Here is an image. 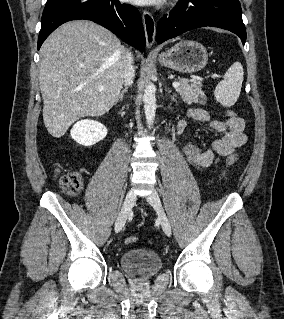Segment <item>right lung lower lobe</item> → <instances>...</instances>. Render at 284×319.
<instances>
[{
    "mask_svg": "<svg viewBox=\"0 0 284 319\" xmlns=\"http://www.w3.org/2000/svg\"><path fill=\"white\" fill-rule=\"evenodd\" d=\"M78 19L91 20L112 31L139 50L145 48V35L139 11L118 0H47L38 37V50L61 24Z\"/></svg>",
    "mask_w": 284,
    "mask_h": 319,
    "instance_id": "98d812e1",
    "label": "right lung lower lobe"
}]
</instances>
